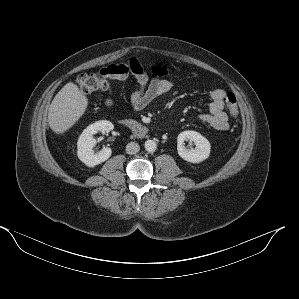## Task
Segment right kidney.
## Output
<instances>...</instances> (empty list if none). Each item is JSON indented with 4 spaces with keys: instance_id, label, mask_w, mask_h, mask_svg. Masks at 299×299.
Instances as JSON below:
<instances>
[{
    "instance_id": "obj_1",
    "label": "right kidney",
    "mask_w": 299,
    "mask_h": 299,
    "mask_svg": "<svg viewBox=\"0 0 299 299\" xmlns=\"http://www.w3.org/2000/svg\"><path fill=\"white\" fill-rule=\"evenodd\" d=\"M114 125L106 120L97 121L89 125L80 135L77 142V156L88 167H94L111 156L110 148H103L95 152L96 139L94 135L98 132H110Z\"/></svg>"
}]
</instances>
